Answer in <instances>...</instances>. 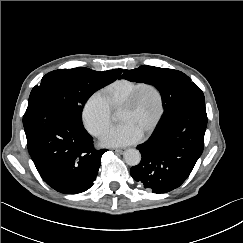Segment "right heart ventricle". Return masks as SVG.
<instances>
[{"label":"right heart ventricle","instance_id":"e07e8e85","mask_svg":"<svg viewBox=\"0 0 243 243\" xmlns=\"http://www.w3.org/2000/svg\"><path fill=\"white\" fill-rule=\"evenodd\" d=\"M143 82L130 79H118L106 86L100 93L110 110L120 109L133 91Z\"/></svg>","mask_w":243,"mask_h":243}]
</instances>
